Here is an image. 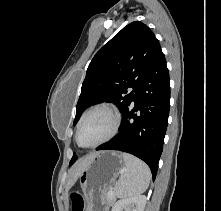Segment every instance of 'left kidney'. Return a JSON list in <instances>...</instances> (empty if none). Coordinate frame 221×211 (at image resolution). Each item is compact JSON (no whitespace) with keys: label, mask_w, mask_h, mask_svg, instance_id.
Here are the masks:
<instances>
[{"label":"left kidney","mask_w":221,"mask_h":211,"mask_svg":"<svg viewBox=\"0 0 221 211\" xmlns=\"http://www.w3.org/2000/svg\"><path fill=\"white\" fill-rule=\"evenodd\" d=\"M146 201L144 195L121 199L114 204L112 211H144Z\"/></svg>","instance_id":"1"}]
</instances>
